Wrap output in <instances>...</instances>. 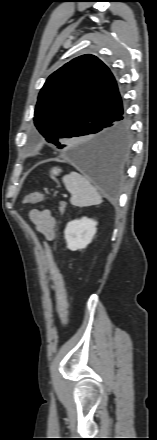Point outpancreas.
<instances>
[{
	"instance_id": "pancreas-1",
	"label": "pancreas",
	"mask_w": 157,
	"mask_h": 440,
	"mask_svg": "<svg viewBox=\"0 0 157 440\" xmlns=\"http://www.w3.org/2000/svg\"><path fill=\"white\" fill-rule=\"evenodd\" d=\"M65 207H66V203H65V202H60L59 210H60V213H61V214L64 213V211H65Z\"/></svg>"
}]
</instances>
